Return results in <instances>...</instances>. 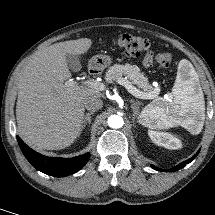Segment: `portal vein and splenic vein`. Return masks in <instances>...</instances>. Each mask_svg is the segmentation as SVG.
Returning <instances> with one entry per match:
<instances>
[{"mask_svg": "<svg viewBox=\"0 0 215 215\" xmlns=\"http://www.w3.org/2000/svg\"><path fill=\"white\" fill-rule=\"evenodd\" d=\"M118 83L122 86H124L133 96L140 98V99H153L156 97L154 93H145L143 91H140L137 89L135 86L131 84L130 81H128L125 78H118L117 79ZM67 84L73 85L75 84L73 81L69 80L67 81ZM83 85L98 90V91H103L105 90V85L102 82H99L94 79H88L82 82Z\"/></svg>", "mask_w": 215, "mask_h": 215, "instance_id": "portal-vein-and-splenic-vein-1", "label": "portal vein and splenic vein"}]
</instances>
